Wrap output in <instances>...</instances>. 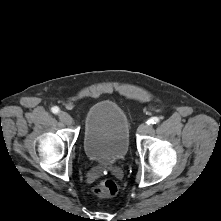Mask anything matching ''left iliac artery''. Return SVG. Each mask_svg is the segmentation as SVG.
I'll list each match as a JSON object with an SVG mask.
<instances>
[{
    "label": "left iliac artery",
    "instance_id": "44dca946",
    "mask_svg": "<svg viewBox=\"0 0 221 221\" xmlns=\"http://www.w3.org/2000/svg\"><path fill=\"white\" fill-rule=\"evenodd\" d=\"M160 119L158 117H152L150 118L147 123L148 124H156V123H159Z\"/></svg>",
    "mask_w": 221,
    "mask_h": 221
}]
</instances>
